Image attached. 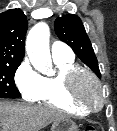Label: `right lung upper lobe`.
Segmentation results:
<instances>
[{"instance_id":"obj_1","label":"right lung upper lobe","mask_w":117,"mask_h":131,"mask_svg":"<svg viewBox=\"0 0 117 131\" xmlns=\"http://www.w3.org/2000/svg\"><path fill=\"white\" fill-rule=\"evenodd\" d=\"M27 28V18L21 9L0 14V62H22Z\"/></svg>"}]
</instances>
